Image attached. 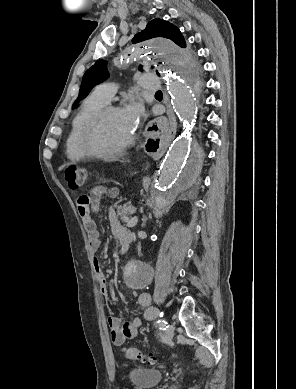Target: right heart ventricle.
Listing matches in <instances>:
<instances>
[{
	"label": "right heart ventricle",
	"mask_w": 296,
	"mask_h": 389,
	"mask_svg": "<svg viewBox=\"0 0 296 389\" xmlns=\"http://www.w3.org/2000/svg\"><path fill=\"white\" fill-rule=\"evenodd\" d=\"M107 103L94 93L89 95L83 102L79 112L72 122L70 132L66 140V155L70 160L81 161L86 158L82 149V134L91 117Z\"/></svg>",
	"instance_id": "right-heart-ventricle-1"
}]
</instances>
